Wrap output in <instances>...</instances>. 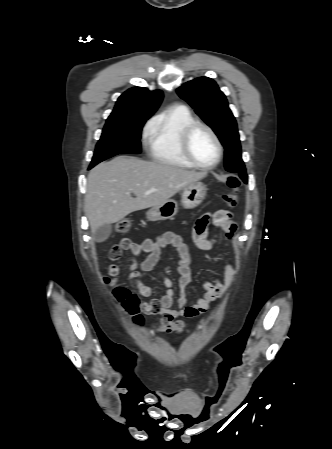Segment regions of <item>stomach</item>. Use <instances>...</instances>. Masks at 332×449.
I'll return each mask as SVG.
<instances>
[{
    "mask_svg": "<svg viewBox=\"0 0 332 449\" xmlns=\"http://www.w3.org/2000/svg\"><path fill=\"white\" fill-rule=\"evenodd\" d=\"M206 186L202 182H196L185 187L181 194V204L185 209H193L199 206L205 199ZM178 212V203L169 199L166 202L153 206L147 213L149 221H160L173 218Z\"/></svg>",
    "mask_w": 332,
    "mask_h": 449,
    "instance_id": "stomach-1",
    "label": "stomach"
}]
</instances>
